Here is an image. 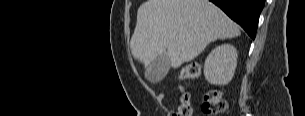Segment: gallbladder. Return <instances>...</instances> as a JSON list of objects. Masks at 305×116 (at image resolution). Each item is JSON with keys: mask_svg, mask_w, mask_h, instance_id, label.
<instances>
[{"mask_svg": "<svg viewBox=\"0 0 305 116\" xmlns=\"http://www.w3.org/2000/svg\"><path fill=\"white\" fill-rule=\"evenodd\" d=\"M170 64V56L166 51L158 55L147 67L146 79L153 84L159 83L168 73Z\"/></svg>", "mask_w": 305, "mask_h": 116, "instance_id": "1", "label": "gallbladder"}]
</instances>
